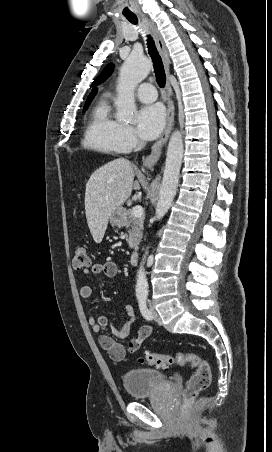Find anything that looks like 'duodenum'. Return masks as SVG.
I'll return each instance as SVG.
<instances>
[{
    "label": "duodenum",
    "mask_w": 272,
    "mask_h": 452,
    "mask_svg": "<svg viewBox=\"0 0 272 452\" xmlns=\"http://www.w3.org/2000/svg\"><path fill=\"white\" fill-rule=\"evenodd\" d=\"M138 259H139V251L133 250L130 254V262L132 264H136L138 262Z\"/></svg>",
    "instance_id": "1"
}]
</instances>
